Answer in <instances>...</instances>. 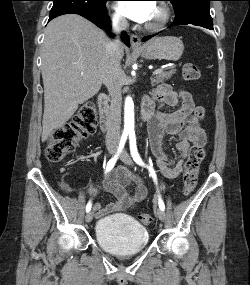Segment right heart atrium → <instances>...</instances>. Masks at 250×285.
Listing matches in <instances>:
<instances>
[{
  "label": "right heart atrium",
  "mask_w": 250,
  "mask_h": 285,
  "mask_svg": "<svg viewBox=\"0 0 250 285\" xmlns=\"http://www.w3.org/2000/svg\"><path fill=\"white\" fill-rule=\"evenodd\" d=\"M111 19L114 25L122 27L126 24V20L121 14V12L115 9L111 15Z\"/></svg>",
  "instance_id": "right-heart-atrium-1"
}]
</instances>
